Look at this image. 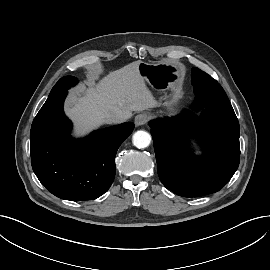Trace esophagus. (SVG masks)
Segmentation results:
<instances>
[{
  "instance_id": "34e87169",
  "label": "esophagus",
  "mask_w": 270,
  "mask_h": 270,
  "mask_svg": "<svg viewBox=\"0 0 270 270\" xmlns=\"http://www.w3.org/2000/svg\"><path fill=\"white\" fill-rule=\"evenodd\" d=\"M148 120V115L145 113L142 114H138L135 119H134V123L136 126H142L144 124H146Z\"/></svg>"
}]
</instances>
